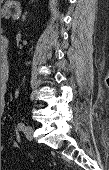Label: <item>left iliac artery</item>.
<instances>
[{"mask_svg":"<svg viewBox=\"0 0 109 170\" xmlns=\"http://www.w3.org/2000/svg\"><path fill=\"white\" fill-rule=\"evenodd\" d=\"M24 127H25V124H24L23 122H20V123L18 124V129H19V130H23Z\"/></svg>","mask_w":109,"mask_h":170,"instance_id":"left-iliac-artery-1","label":"left iliac artery"}]
</instances>
